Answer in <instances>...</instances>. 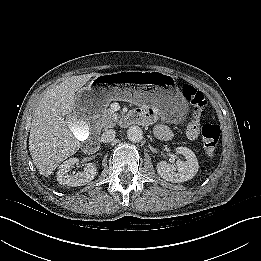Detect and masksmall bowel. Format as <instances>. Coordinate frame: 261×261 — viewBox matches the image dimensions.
I'll return each instance as SVG.
<instances>
[{"mask_svg":"<svg viewBox=\"0 0 261 261\" xmlns=\"http://www.w3.org/2000/svg\"><path fill=\"white\" fill-rule=\"evenodd\" d=\"M154 111L151 108L136 109L132 112L133 123H148L151 121ZM155 135L162 140H169L172 137L171 130L165 125L155 126Z\"/></svg>","mask_w":261,"mask_h":261,"instance_id":"obj_1","label":"small bowel"}]
</instances>
